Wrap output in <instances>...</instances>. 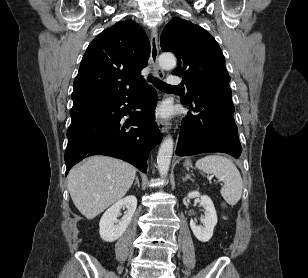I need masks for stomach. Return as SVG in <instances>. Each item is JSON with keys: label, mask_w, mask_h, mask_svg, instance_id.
<instances>
[{"label": "stomach", "mask_w": 308, "mask_h": 278, "mask_svg": "<svg viewBox=\"0 0 308 278\" xmlns=\"http://www.w3.org/2000/svg\"><path fill=\"white\" fill-rule=\"evenodd\" d=\"M185 166L188 168V167H190L191 166V162L190 161H186L185 162Z\"/></svg>", "instance_id": "stomach-1"}]
</instances>
